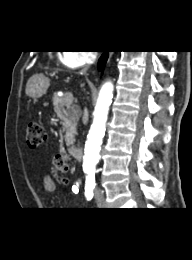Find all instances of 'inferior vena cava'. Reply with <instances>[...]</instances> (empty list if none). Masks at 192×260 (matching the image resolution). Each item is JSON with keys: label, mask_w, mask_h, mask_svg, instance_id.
Returning a JSON list of instances; mask_svg holds the SVG:
<instances>
[{"label": "inferior vena cava", "mask_w": 192, "mask_h": 260, "mask_svg": "<svg viewBox=\"0 0 192 260\" xmlns=\"http://www.w3.org/2000/svg\"><path fill=\"white\" fill-rule=\"evenodd\" d=\"M95 59H96V54L93 52L90 56H89V58H88V60H87V64L88 65H90V64H92L94 61H95ZM88 69V66H86V67H84V71H86Z\"/></svg>", "instance_id": "inferior-vena-cava-1"}]
</instances>
